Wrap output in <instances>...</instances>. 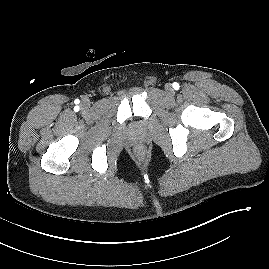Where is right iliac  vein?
Listing matches in <instances>:
<instances>
[{"label": "right iliac vein", "instance_id": "obj_1", "mask_svg": "<svg viewBox=\"0 0 269 269\" xmlns=\"http://www.w3.org/2000/svg\"><path fill=\"white\" fill-rule=\"evenodd\" d=\"M90 105V103L88 101H84L83 104H82V107L83 108H88Z\"/></svg>", "mask_w": 269, "mask_h": 269}]
</instances>
